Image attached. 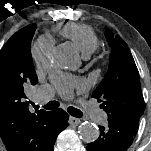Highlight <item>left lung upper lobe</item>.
<instances>
[{
    "instance_id": "left-lung-upper-lobe-1",
    "label": "left lung upper lobe",
    "mask_w": 151,
    "mask_h": 151,
    "mask_svg": "<svg viewBox=\"0 0 151 151\" xmlns=\"http://www.w3.org/2000/svg\"><path fill=\"white\" fill-rule=\"evenodd\" d=\"M106 38L111 46L109 65L92 97L102 102L108 123L135 135L145 108L139 72L126 42L110 30Z\"/></svg>"
}]
</instances>
